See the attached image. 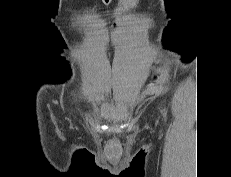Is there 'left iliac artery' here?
<instances>
[{
	"instance_id": "left-iliac-artery-1",
	"label": "left iliac artery",
	"mask_w": 231,
	"mask_h": 177,
	"mask_svg": "<svg viewBox=\"0 0 231 177\" xmlns=\"http://www.w3.org/2000/svg\"><path fill=\"white\" fill-rule=\"evenodd\" d=\"M161 113L163 114V116H165V113L163 112V110H161Z\"/></svg>"
}]
</instances>
